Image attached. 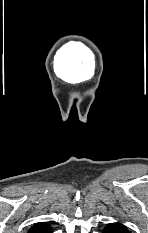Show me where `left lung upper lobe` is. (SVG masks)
Here are the masks:
<instances>
[{
    "label": "left lung upper lobe",
    "instance_id": "5c2ea615",
    "mask_svg": "<svg viewBox=\"0 0 148 233\" xmlns=\"http://www.w3.org/2000/svg\"><path fill=\"white\" fill-rule=\"evenodd\" d=\"M105 228H112V229H115L117 231H120L121 233H130L128 231V229L126 228V226H124L123 224L118 223V222L110 223Z\"/></svg>",
    "mask_w": 148,
    "mask_h": 233
}]
</instances>
